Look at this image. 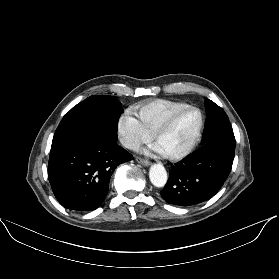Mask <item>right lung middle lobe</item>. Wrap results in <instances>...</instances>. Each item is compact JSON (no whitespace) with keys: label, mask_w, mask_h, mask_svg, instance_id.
<instances>
[{"label":"right lung middle lobe","mask_w":279,"mask_h":279,"mask_svg":"<svg viewBox=\"0 0 279 279\" xmlns=\"http://www.w3.org/2000/svg\"><path fill=\"white\" fill-rule=\"evenodd\" d=\"M121 102L109 95H94L74 106L61 120L52 145L74 141L105 128L117 131Z\"/></svg>","instance_id":"dd1d6c3e"}]
</instances>
